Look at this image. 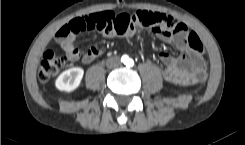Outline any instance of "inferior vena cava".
I'll return each mask as SVG.
<instances>
[{
  "mask_svg": "<svg viewBox=\"0 0 245 145\" xmlns=\"http://www.w3.org/2000/svg\"><path fill=\"white\" fill-rule=\"evenodd\" d=\"M106 65H107V67H109V68H115V67L119 66V65H120V59H119V57H117V56L110 57V58L107 60Z\"/></svg>",
  "mask_w": 245,
  "mask_h": 145,
  "instance_id": "1",
  "label": "inferior vena cava"
}]
</instances>
